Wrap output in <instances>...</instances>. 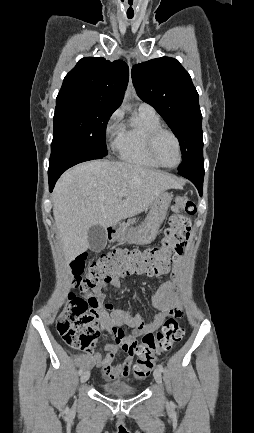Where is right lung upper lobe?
I'll use <instances>...</instances> for the list:
<instances>
[{
  "mask_svg": "<svg viewBox=\"0 0 254 433\" xmlns=\"http://www.w3.org/2000/svg\"><path fill=\"white\" fill-rule=\"evenodd\" d=\"M129 78V68L121 60L102 57L82 58L65 76L56 106L69 103L96 104L116 110L121 104Z\"/></svg>",
  "mask_w": 254,
  "mask_h": 433,
  "instance_id": "obj_1",
  "label": "right lung upper lobe"
}]
</instances>
